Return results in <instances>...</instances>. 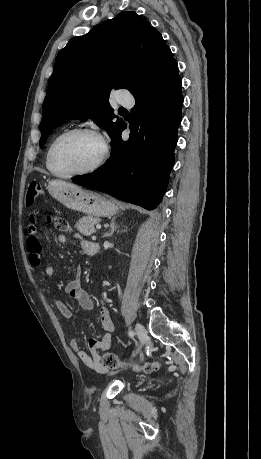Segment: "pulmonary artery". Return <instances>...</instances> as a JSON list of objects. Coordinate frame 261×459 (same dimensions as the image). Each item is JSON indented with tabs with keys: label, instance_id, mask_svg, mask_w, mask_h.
I'll use <instances>...</instances> for the list:
<instances>
[{
	"label": "pulmonary artery",
	"instance_id": "obj_1",
	"mask_svg": "<svg viewBox=\"0 0 261 459\" xmlns=\"http://www.w3.org/2000/svg\"><path fill=\"white\" fill-rule=\"evenodd\" d=\"M118 103L122 106L130 107L133 105L134 101L130 96L121 95L118 99Z\"/></svg>",
	"mask_w": 261,
	"mask_h": 459
}]
</instances>
